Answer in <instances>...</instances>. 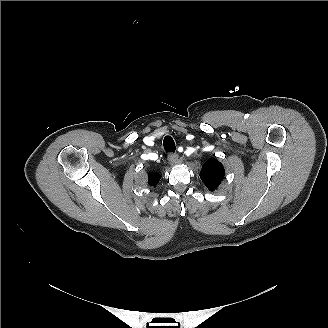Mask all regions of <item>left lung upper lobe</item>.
Segmentation results:
<instances>
[{
    "instance_id": "obj_1",
    "label": "left lung upper lobe",
    "mask_w": 328,
    "mask_h": 328,
    "mask_svg": "<svg viewBox=\"0 0 328 328\" xmlns=\"http://www.w3.org/2000/svg\"><path fill=\"white\" fill-rule=\"evenodd\" d=\"M225 176L223 165L215 159H209L200 172V178L206 187L213 191L217 189Z\"/></svg>"
}]
</instances>
